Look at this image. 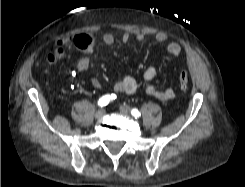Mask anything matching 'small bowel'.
Segmentation results:
<instances>
[{"label": "small bowel", "mask_w": 245, "mask_h": 187, "mask_svg": "<svg viewBox=\"0 0 245 187\" xmlns=\"http://www.w3.org/2000/svg\"><path fill=\"white\" fill-rule=\"evenodd\" d=\"M131 38H133L137 42H143L146 39V35L142 32H135L133 34L124 32L121 35V42L126 44L128 43ZM154 39L157 43L163 44L167 41V35L162 32H158L155 34ZM102 41L106 45L113 44L116 39L115 36L111 33H106L102 37ZM65 46V42L63 40H59L55 44V54L61 55L60 53ZM166 53L171 57H177L180 55H184L187 62H192L194 57L193 54L184 49L179 43L177 42H170L166 47ZM50 59H53V55H50ZM90 61L89 58L85 55H80L74 62V67L77 71H85L89 68ZM157 75V69L154 66H149L143 75V79L145 82L150 83ZM92 83L95 87L100 88L101 83L93 79ZM113 89L117 93H126V94H134L139 89V84L137 80L132 76H125L123 79L116 81L113 85ZM146 93L156 99L161 101H169L174 98V91L171 88H167L165 90L159 89L157 86L153 84H148L146 87Z\"/></svg>", "instance_id": "obj_1"}]
</instances>
